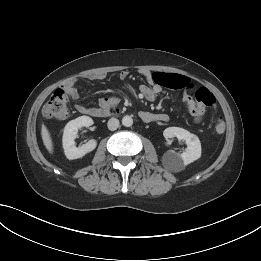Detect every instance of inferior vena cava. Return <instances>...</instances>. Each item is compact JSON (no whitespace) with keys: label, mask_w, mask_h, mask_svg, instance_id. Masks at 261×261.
<instances>
[{"label":"inferior vena cava","mask_w":261,"mask_h":261,"mask_svg":"<svg viewBox=\"0 0 261 261\" xmlns=\"http://www.w3.org/2000/svg\"><path fill=\"white\" fill-rule=\"evenodd\" d=\"M107 126L109 130L114 131L119 127V120L116 118H111L109 119Z\"/></svg>","instance_id":"inferior-vena-cava-1"}]
</instances>
